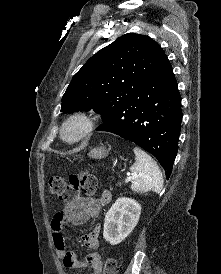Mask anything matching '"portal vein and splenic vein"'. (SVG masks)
<instances>
[{
  "label": "portal vein and splenic vein",
  "mask_w": 221,
  "mask_h": 274,
  "mask_svg": "<svg viewBox=\"0 0 221 274\" xmlns=\"http://www.w3.org/2000/svg\"><path fill=\"white\" fill-rule=\"evenodd\" d=\"M134 178V176H130L128 175L125 179V182L128 183L129 181H131Z\"/></svg>",
  "instance_id": "obj_1"
}]
</instances>
